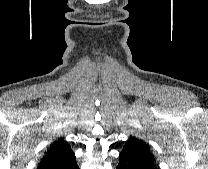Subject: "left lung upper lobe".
<instances>
[{"mask_svg":"<svg viewBox=\"0 0 208 169\" xmlns=\"http://www.w3.org/2000/svg\"><path fill=\"white\" fill-rule=\"evenodd\" d=\"M123 150H128L139 157L143 158L144 161L152 167H157L155 158L153 157L149 147L142 140L135 137H130L129 140L125 142Z\"/></svg>","mask_w":208,"mask_h":169,"instance_id":"left-lung-upper-lobe-1","label":"left lung upper lobe"}]
</instances>
